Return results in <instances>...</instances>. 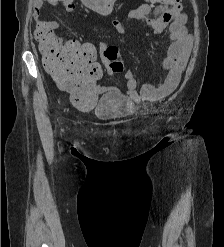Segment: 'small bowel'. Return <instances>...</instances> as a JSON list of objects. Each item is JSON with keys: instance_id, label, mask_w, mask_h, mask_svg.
<instances>
[{"instance_id": "small-bowel-1", "label": "small bowel", "mask_w": 224, "mask_h": 247, "mask_svg": "<svg viewBox=\"0 0 224 247\" xmlns=\"http://www.w3.org/2000/svg\"><path fill=\"white\" fill-rule=\"evenodd\" d=\"M64 0H34L33 15L36 19V28L45 26L52 30L58 27L56 22H50L41 18V13L45 5L58 7ZM87 7L95 10L102 17L110 20L112 26L119 33L125 32L122 22L112 17L114 0H81ZM174 1L169 6L158 5L152 8L149 4H142L129 13V18L144 23L155 34L169 30V38L172 41L165 56L161 58L162 67L167 70L164 80L157 85L145 84L140 91L136 90L137 82L132 71L124 74L126 92L129 98L135 102L141 100H158L169 95L179 84L182 71L187 63L192 47V36L188 32L186 23L187 15L182 10L181 0ZM103 54L108 47L105 43L98 45ZM40 49L46 51L40 43ZM111 71V70H110Z\"/></svg>"}]
</instances>
